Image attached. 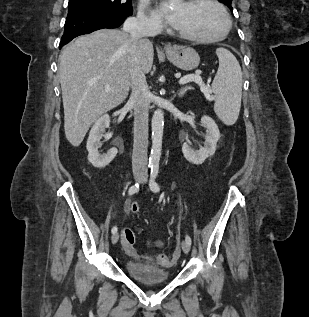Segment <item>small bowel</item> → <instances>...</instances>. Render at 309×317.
Segmentation results:
<instances>
[{
    "label": "small bowel",
    "mask_w": 309,
    "mask_h": 317,
    "mask_svg": "<svg viewBox=\"0 0 309 317\" xmlns=\"http://www.w3.org/2000/svg\"><path fill=\"white\" fill-rule=\"evenodd\" d=\"M130 207H131L130 203L127 202L126 208H127L128 211H130ZM126 251H127L130 255H135V250H134L133 247H126Z\"/></svg>",
    "instance_id": "small-bowel-1"
}]
</instances>
